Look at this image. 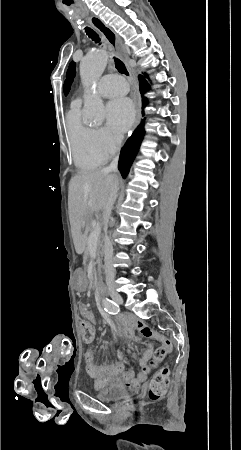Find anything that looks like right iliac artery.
<instances>
[{"label": "right iliac artery", "instance_id": "obj_1", "mask_svg": "<svg viewBox=\"0 0 241 450\" xmlns=\"http://www.w3.org/2000/svg\"><path fill=\"white\" fill-rule=\"evenodd\" d=\"M104 310L110 314H117L119 306L112 300L106 298L103 300Z\"/></svg>", "mask_w": 241, "mask_h": 450}]
</instances>
